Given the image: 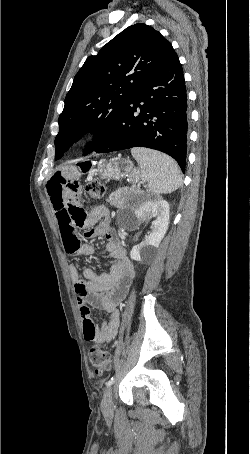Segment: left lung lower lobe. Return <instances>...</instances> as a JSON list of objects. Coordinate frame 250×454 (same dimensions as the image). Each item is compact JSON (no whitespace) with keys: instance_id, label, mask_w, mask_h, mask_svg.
I'll return each instance as SVG.
<instances>
[{"instance_id":"1","label":"left lung lower lobe","mask_w":250,"mask_h":454,"mask_svg":"<svg viewBox=\"0 0 250 454\" xmlns=\"http://www.w3.org/2000/svg\"><path fill=\"white\" fill-rule=\"evenodd\" d=\"M188 111L182 66L174 51L137 90L109 136L94 151L147 147L173 157L185 172Z\"/></svg>"}]
</instances>
